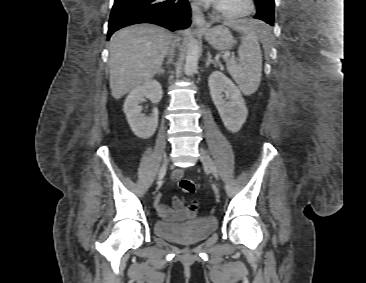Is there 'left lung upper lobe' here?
Instances as JSON below:
<instances>
[{
	"label": "left lung upper lobe",
	"instance_id": "5c2ea615",
	"mask_svg": "<svg viewBox=\"0 0 366 283\" xmlns=\"http://www.w3.org/2000/svg\"><path fill=\"white\" fill-rule=\"evenodd\" d=\"M257 5V19L263 20L264 22L274 25V0H254Z\"/></svg>",
	"mask_w": 366,
	"mask_h": 283
}]
</instances>
